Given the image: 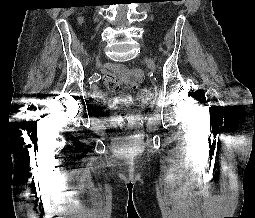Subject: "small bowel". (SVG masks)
<instances>
[{"label": "small bowel", "mask_w": 255, "mask_h": 218, "mask_svg": "<svg viewBox=\"0 0 255 218\" xmlns=\"http://www.w3.org/2000/svg\"><path fill=\"white\" fill-rule=\"evenodd\" d=\"M104 79H115L119 82L136 85L143 79V75L140 69L138 68H127L119 63H108L105 66L103 72ZM92 94L95 98L101 99L102 93L98 87H94ZM129 99L128 96H121L116 99L117 102H124Z\"/></svg>", "instance_id": "c3829d8e"}]
</instances>
